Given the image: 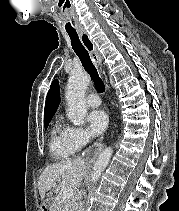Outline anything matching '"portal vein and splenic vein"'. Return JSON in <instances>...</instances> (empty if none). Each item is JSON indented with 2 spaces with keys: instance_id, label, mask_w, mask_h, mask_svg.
Here are the masks:
<instances>
[{
  "instance_id": "18ae733b",
  "label": "portal vein and splenic vein",
  "mask_w": 179,
  "mask_h": 211,
  "mask_svg": "<svg viewBox=\"0 0 179 211\" xmlns=\"http://www.w3.org/2000/svg\"><path fill=\"white\" fill-rule=\"evenodd\" d=\"M56 184H54L55 186ZM61 196L63 199H69L72 198L74 196V190L72 188H66L65 190H63V192L61 193Z\"/></svg>"
}]
</instances>
